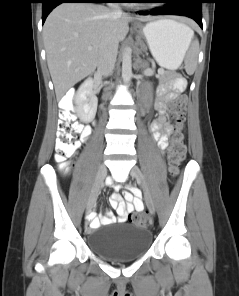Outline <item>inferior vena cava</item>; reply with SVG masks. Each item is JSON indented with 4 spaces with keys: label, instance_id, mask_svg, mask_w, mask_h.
I'll return each instance as SVG.
<instances>
[{
    "label": "inferior vena cava",
    "instance_id": "obj_1",
    "mask_svg": "<svg viewBox=\"0 0 239 296\" xmlns=\"http://www.w3.org/2000/svg\"><path fill=\"white\" fill-rule=\"evenodd\" d=\"M109 6L111 7L112 13L115 16L122 15V10L117 4L111 3ZM117 52H118V42L114 40H110L106 42L101 47L97 66H98V72L102 76L107 77L113 73Z\"/></svg>",
    "mask_w": 239,
    "mask_h": 296
}]
</instances>
